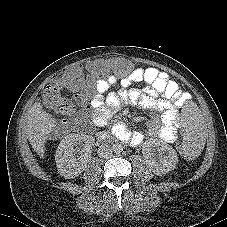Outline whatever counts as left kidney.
I'll return each instance as SVG.
<instances>
[{
  "mask_svg": "<svg viewBox=\"0 0 227 227\" xmlns=\"http://www.w3.org/2000/svg\"><path fill=\"white\" fill-rule=\"evenodd\" d=\"M143 156L156 175H164L174 170L178 163L176 151L159 139H149L145 142Z\"/></svg>",
  "mask_w": 227,
  "mask_h": 227,
  "instance_id": "5707ae66",
  "label": "left kidney"
}]
</instances>
